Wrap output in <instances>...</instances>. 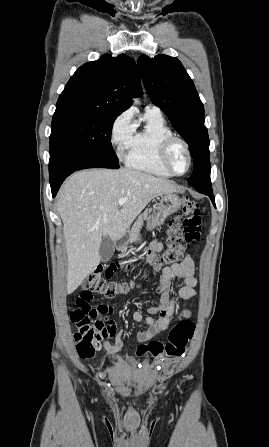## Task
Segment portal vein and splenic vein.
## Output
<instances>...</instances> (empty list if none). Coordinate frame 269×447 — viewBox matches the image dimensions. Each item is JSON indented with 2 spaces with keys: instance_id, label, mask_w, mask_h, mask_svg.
I'll return each instance as SVG.
<instances>
[{
  "instance_id": "18ae733b",
  "label": "portal vein and splenic vein",
  "mask_w": 269,
  "mask_h": 447,
  "mask_svg": "<svg viewBox=\"0 0 269 447\" xmlns=\"http://www.w3.org/2000/svg\"><path fill=\"white\" fill-rule=\"evenodd\" d=\"M128 198H120L119 206H124L125 202H127Z\"/></svg>"
}]
</instances>
